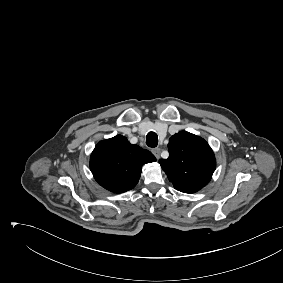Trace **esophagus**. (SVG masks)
Here are the masks:
<instances>
[{
    "mask_svg": "<svg viewBox=\"0 0 283 283\" xmlns=\"http://www.w3.org/2000/svg\"><path fill=\"white\" fill-rule=\"evenodd\" d=\"M160 152L161 150L159 148H155L152 150V153L154 154V156L159 159L160 158Z\"/></svg>",
    "mask_w": 283,
    "mask_h": 283,
    "instance_id": "obj_1",
    "label": "esophagus"
}]
</instances>
